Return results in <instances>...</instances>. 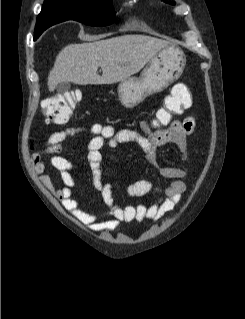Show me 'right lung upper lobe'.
I'll list each match as a JSON object with an SVG mask.
<instances>
[{"instance_id": "right-lung-upper-lobe-1", "label": "right lung upper lobe", "mask_w": 245, "mask_h": 319, "mask_svg": "<svg viewBox=\"0 0 245 319\" xmlns=\"http://www.w3.org/2000/svg\"><path fill=\"white\" fill-rule=\"evenodd\" d=\"M54 1V0H45L43 8L41 13L39 14L37 18V23L40 28H48L49 26L57 23V21L51 17V7H48L49 2ZM39 30H35L36 36H39L40 34L38 33Z\"/></svg>"}]
</instances>
